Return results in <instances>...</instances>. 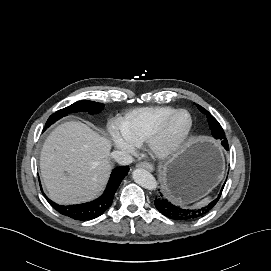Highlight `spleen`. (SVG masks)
Segmentation results:
<instances>
[{
	"instance_id": "1",
	"label": "spleen",
	"mask_w": 271,
	"mask_h": 271,
	"mask_svg": "<svg viewBox=\"0 0 271 271\" xmlns=\"http://www.w3.org/2000/svg\"><path fill=\"white\" fill-rule=\"evenodd\" d=\"M209 201H210V199L207 197V198L201 200L200 202L196 203L195 207L204 206V205L208 204Z\"/></svg>"
}]
</instances>
